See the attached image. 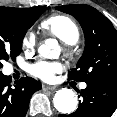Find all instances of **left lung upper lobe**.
<instances>
[{"label":"left lung upper lobe","mask_w":117,"mask_h":117,"mask_svg":"<svg viewBox=\"0 0 117 117\" xmlns=\"http://www.w3.org/2000/svg\"><path fill=\"white\" fill-rule=\"evenodd\" d=\"M57 10L74 16L84 31L85 49L70 80L89 82L99 78H117V31L95 8L84 5H63Z\"/></svg>","instance_id":"1"}]
</instances>
